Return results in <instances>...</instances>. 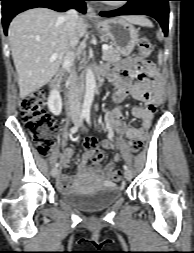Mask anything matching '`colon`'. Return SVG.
Segmentation results:
<instances>
[{
	"label": "colon",
	"instance_id": "1",
	"mask_svg": "<svg viewBox=\"0 0 194 253\" xmlns=\"http://www.w3.org/2000/svg\"><path fill=\"white\" fill-rule=\"evenodd\" d=\"M152 51V44L146 37L138 40L136 45V56H148ZM140 64V61H137ZM141 66V65H140ZM45 93L43 90H36L26 95L20 104V112L22 122L26 129L31 134L37 152L42 156L50 154L56 132V122L54 118L45 110ZM96 142L98 137H86L84 147L90 151V158L92 162H101L103 153L97 148ZM142 147L140 139H132L129 143L131 152L137 153ZM112 180L118 182L121 180L120 169H114L112 173Z\"/></svg>",
	"mask_w": 194,
	"mask_h": 253
}]
</instances>
